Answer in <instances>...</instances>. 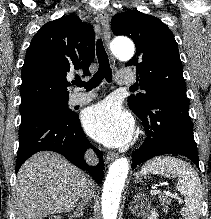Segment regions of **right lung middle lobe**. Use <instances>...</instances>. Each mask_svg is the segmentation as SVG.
Listing matches in <instances>:
<instances>
[{
	"mask_svg": "<svg viewBox=\"0 0 211 219\" xmlns=\"http://www.w3.org/2000/svg\"><path fill=\"white\" fill-rule=\"evenodd\" d=\"M68 98L65 99H41L20 105L21 121L45 113H58L71 115L73 111L67 107Z\"/></svg>",
	"mask_w": 211,
	"mask_h": 219,
	"instance_id": "dd1d6c3e",
	"label": "right lung middle lobe"
}]
</instances>
